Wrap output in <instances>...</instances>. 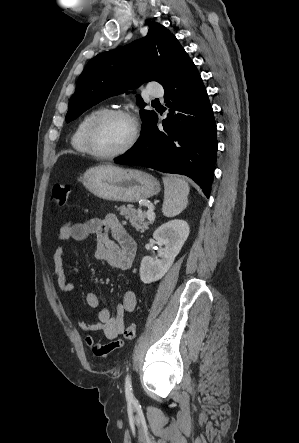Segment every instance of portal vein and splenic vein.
<instances>
[{
    "mask_svg": "<svg viewBox=\"0 0 299 443\" xmlns=\"http://www.w3.org/2000/svg\"><path fill=\"white\" fill-rule=\"evenodd\" d=\"M147 219H148L150 222H154V220H155V214H154L153 211H148V212H147Z\"/></svg>",
    "mask_w": 299,
    "mask_h": 443,
    "instance_id": "18ae733b",
    "label": "portal vein and splenic vein"
}]
</instances>
